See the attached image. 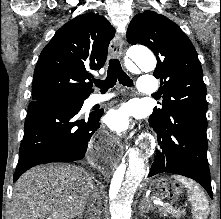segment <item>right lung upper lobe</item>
<instances>
[{"label": "right lung upper lobe", "instance_id": "1", "mask_svg": "<svg viewBox=\"0 0 221 219\" xmlns=\"http://www.w3.org/2000/svg\"><path fill=\"white\" fill-rule=\"evenodd\" d=\"M113 37L109 21L95 13L82 14L63 25L39 56L32 100L89 96L91 71L104 65Z\"/></svg>", "mask_w": 221, "mask_h": 219}]
</instances>
